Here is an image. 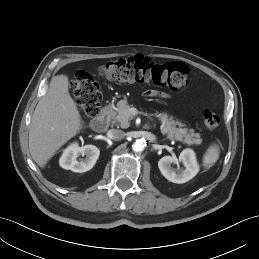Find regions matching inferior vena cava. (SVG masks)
<instances>
[{"label":"inferior vena cava","instance_id":"602c4592","mask_svg":"<svg viewBox=\"0 0 259 259\" xmlns=\"http://www.w3.org/2000/svg\"><path fill=\"white\" fill-rule=\"evenodd\" d=\"M107 136L108 138L112 139V140H121L125 137V133L122 130L119 129H110L107 132Z\"/></svg>","mask_w":259,"mask_h":259}]
</instances>
